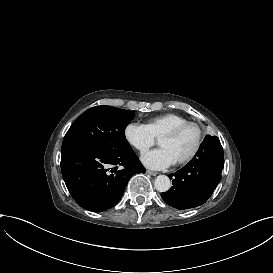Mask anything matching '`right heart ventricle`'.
I'll return each mask as SVG.
<instances>
[{"mask_svg": "<svg viewBox=\"0 0 273 273\" xmlns=\"http://www.w3.org/2000/svg\"><path fill=\"white\" fill-rule=\"evenodd\" d=\"M190 120L180 114L166 113L149 119L144 125L155 139H158L164 132L182 126Z\"/></svg>", "mask_w": 273, "mask_h": 273, "instance_id": "right-heart-ventricle-1", "label": "right heart ventricle"}]
</instances>
